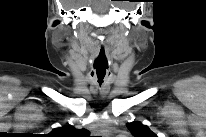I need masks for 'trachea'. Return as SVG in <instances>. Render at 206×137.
Instances as JSON below:
<instances>
[{"instance_id": "1", "label": "trachea", "mask_w": 206, "mask_h": 137, "mask_svg": "<svg viewBox=\"0 0 206 137\" xmlns=\"http://www.w3.org/2000/svg\"><path fill=\"white\" fill-rule=\"evenodd\" d=\"M107 66L108 64L105 58L104 50L101 49L100 55L94 63V67L97 69L98 83L100 86L103 83Z\"/></svg>"}]
</instances>
